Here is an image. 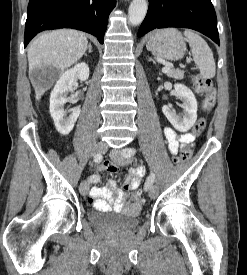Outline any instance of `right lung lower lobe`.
<instances>
[{
	"label": "right lung lower lobe",
	"mask_w": 247,
	"mask_h": 275,
	"mask_svg": "<svg viewBox=\"0 0 247 275\" xmlns=\"http://www.w3.org/2000/svg\"><path fill=\"white\" fill-rule=\"evenodd\" d=\"M116 0H30L24 47L37 33L58 28L88 32L103 44L108 16Z\"/></svg>",
	"instance_id": "right-lung-lower-lobe-1"
}]
</instances>
